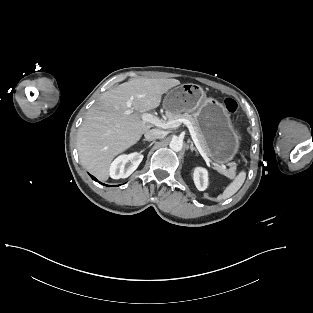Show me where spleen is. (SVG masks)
<instances>
[{
    "mask_svg": "<svg viewBox=\"0 0 313 313\" xmlns=\"http://www.w3.org/2000/svg\"><path fill=\"white\" fill-rule=\"evenodd\" d=\"M246 173L241 171L237 177L224 189L223 193L218 195L216 201H222L233 196L243 185Z\"/></svg>",
    "mask_w": 313,
    "mask_h": 313,
    "instance_id": "3e777b00",
    "label": "spleen"
}]
</instances>
